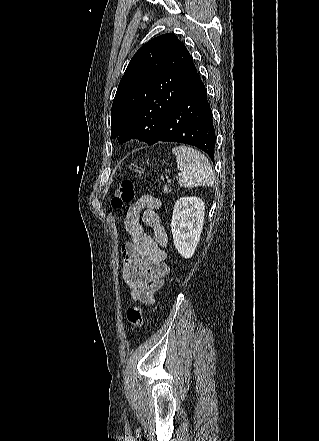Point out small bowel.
I'll use <instances>...</instances> for the list:
<instances>
[{
    "label": "small bowel",
    "instance_id": "small-bowel-1",
    "mask_svg": "<svg viewBox=\"0 0 319 441\" xmlns=\"http://www.w3.org/2000/svg\"><path fill=\"white\" fill-rule=\"evenodd\" d=\"M159 207L158 198L144 195L128 209L124 219L130 240L122 247V277L130 297L146 305L154 303V294L168 274V238L156 212ZM143 224L152 229L153 235L145 231Z\"/></svg>",
    "mask_w": 319,
    "mask_h": 441
}]
</instances>
